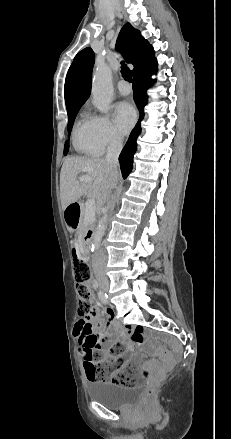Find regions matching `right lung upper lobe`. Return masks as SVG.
Segmentation results:
<instances>
[{
	"instance_id": "1",
	"label": "right lung upper lobe",
	"mask_w": 231,
	"mask_h": 439,
	"mask_svg": "<svg viewBox=\"0 0 231 439\" xmlns=\"http://www.w3.org/2000/svg\"><path fill=\"white\" fill-rule=\"evenodd\" d=\"M116 49L121 51L128 63L133 64V75L155 60L153 47L129 23L121 29ZM94 57L91 48H85L75 56L65 80L67 110L81 107L90 96Z\"/></svg>"
}]
</instances>
